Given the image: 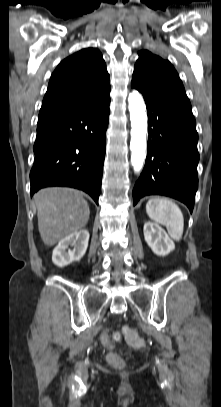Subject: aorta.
I'll list each match as a JSON object with an SVG mask.
<instances>
[{"label": "aorta", "instance_id": "obj_1", "mask_svg": "<svg viewBox=\"0 0 221 407\" xmlns=\"http://www.w3.org/2000/svg\"><path fill=\"white\" fill-rule=\"evenodd\" d=\"M131 121V162L134 171L140 172L146 158L147 114L143 97L138 91L128 96Z\"/></svg>", "mask_w": 221, "mask_h": 407}]
</instances>
